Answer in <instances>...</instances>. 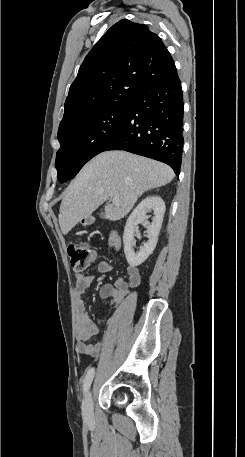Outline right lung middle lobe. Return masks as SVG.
<instances>
[{
    "label": "right lung middle lobe",
    "instance_id": "dd1d6c3e",
    "mask_svg": "<svg viewBox=\"0 0 245 457\" xmlns=\"http://www.w3.org/2000/svg\"><path fill=\"white\" fill-rule=\"evenodd\" d=\"M131 100H118L59 125L60 149L55 166L58 180L72 179L83 165L101 153L123 123Z\"/></svg>",
    "mask_w": 245,
    "mask_h": 457
}]
</instances>
